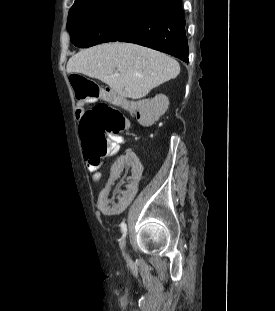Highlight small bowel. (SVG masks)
Returning <instances> with one entry per match:
<instances>
[{"label":"small bowel","instance_id":"small-bowel-1","mask_svg":"<svg viewBox=\"0 0 275 311\" xmlns=\"http://www.w3.org/2000/svg\"><path fill=\"white\" fill-rule=\"evenodd\" d=\"M125 109V103H120ZM86 102H79L76 107V117L80 119L81 115L86 109ZM129 110V109H128ZM116 142L119 145L125 143L124 138L117 137ZM101 160H94L86 157V168L91 173L92 180L99 182L102 179ZM111 169H108V176L113 179L111 182L114 184L115 180H130L123 186L121 192L117 194V187H113L112 183H105L99 191L98 205L95 208L96 213H102L103 216H120L125 207L135 197L138 192V180L143 174V164L137 158V150H122L118 160H112ZM125 171H127L125 173ZM115 198V200H114Z\"/></svg>","mask_w":275,"mask_h":311}]
</instances>
